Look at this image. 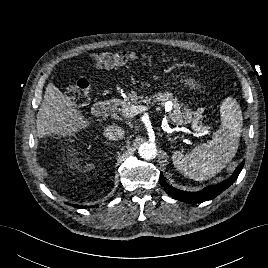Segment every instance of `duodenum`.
I'll use <instances>...</instances> for the list:
<instances>
[{
	"label": "duodenum",
	"mask_w": 268,
	"mask_h": 268,
	"mask_svg": "<svg viewBox=\"0 0 268 268\" xmlns=\"http://www.w3.org/2000/svg\"><path fill=\"white\" fill-rule=\"evenodd\" d=\"M116 107H117L116 100L107 99L105 101L97 103L93 109H94L95 115L106 119L115 111Z\"/></svg>",
	"instance_id": "obj_1"
}]
</instances>
